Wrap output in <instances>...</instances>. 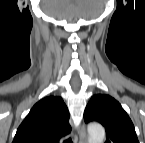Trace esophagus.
Instances as JSON below:
<instances>
[{
    "label": "esophagus",
    "mask_w": 145,
    "mask_h": 143,
    "mask_svg": "<svg viewBox=\"0 0 145 143\" xmlns=\"http://www.w3.org/2000/svg\"><path fill=\"white\" fill-rule=\"evenodd\" d=\"M79 143H87L86 131L84 126H81L79 129Z\"/></svg>",
    "instance_id": "esophagus-1"
}]
</instances>
